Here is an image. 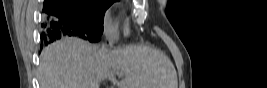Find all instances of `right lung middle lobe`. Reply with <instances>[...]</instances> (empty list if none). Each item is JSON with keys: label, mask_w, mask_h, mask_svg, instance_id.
<instances>
[{"label": "right lung middle lobe", "mask_w": 267, "mask_h": 88, "mask_svg": "<svg viewBox=\"0 0 267 88\" xmlns=\"http://www.w3.org/2000/svg\"><path fill=\"white\" fill-rule=\"evenodd\" d=\"M116 0H45L43 11L51 18L67 19L89 34L100 37L106 9Z\"/></svg>", "instance_id": "1"}]
</instances>
